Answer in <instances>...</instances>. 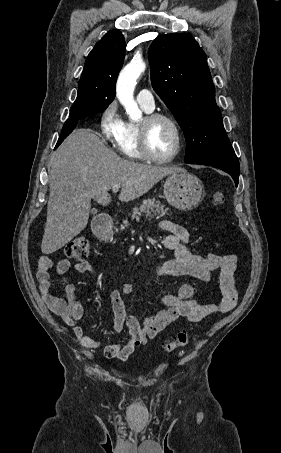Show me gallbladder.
Returning a JSON list of instances; mask_svg holds the SVG:
<instances>
[{"label": "gallbladder", "instance_id": "bac80fb5", "mask_svg": "<svg viewBox=\"0 0 281 453\" xmlns=\"http://www.w3.org/2000/svg\"><path fill=\"white\" fill-rule=\"evenodd\" d=\"M92 214H95V212H98L97 208H92L91 210Z\"/></svg>", "mask_w": 281, "mask_h": 453}]
</instances>
